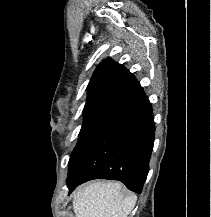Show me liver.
I'll return each mask as SVG.
<instances>
[{"mask_svg":"<svg viewBox=\"0 0 211 217\" xmlns=\"http://www.w3.org/2000/svg\"><path fill=\"white\" fill-rule=\"evenodd\" d=\"M137 195L126 193L119 182H94L73 195L75 217H128Z\"/></svg>","mask_w":211,"mask_h":217,"instance_id":"1","label":"liver"}]
</instances>
